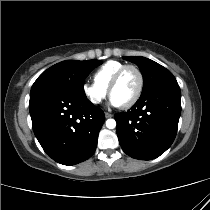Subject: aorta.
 <instances>
[{
  "mask_svg": "<svg viewBox=\"0 0 210 210\" xmlns=\"http://www.w3.org/2000/svg\"><path fill=\"white\" fill-rule=\"evenodd\" d=\"M106 127L109 129H114L116 127V121L114 119H108L106 121Z\"/></svg>",
  "mask_w": 210,
  "mask_h": 210,
  "instance_id": "1",
  "label": "aorta"
}]
</instances>
